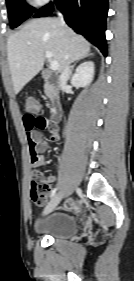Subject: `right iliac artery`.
<instances>
[{
  "instance_id": "obj_1",
  "label": "right iliac artery",
  "mask_w": 134,
  "mask_h": 281,
  "mask_svg": "<svg viewBox=\"0 0 134 281\" xmlns=\"http://www.w3.org/2000/svg\"><path fill=\"white\" fill-rule=\"evenodd\" d=\"M56 191H57V188H54V189L52 190L51 195H50V198H52V197L55 195Z\"/></svg>"
}]
</instances>
